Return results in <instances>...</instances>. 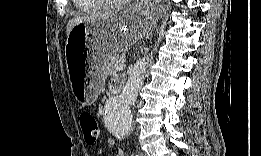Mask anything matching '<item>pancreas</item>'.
Instances as JSON below:
<instances>
[{"label": "pancreas", "instance_id": "cf45deb5", "mask_svg": "<svg viewBox=\"0 0 261 156\" xmlns=\"http://www.w3.org/2000/svg\"><path fill=\"white\" fill-rule=\"evenodd\" d=\"M124 54L120 51L113 52L109 56V59L102 66L103 76L113 74L117 71L116 66L124 61Z\"/></svg>", "mask_w": 261, "mask_h": 156}]
</instances>
